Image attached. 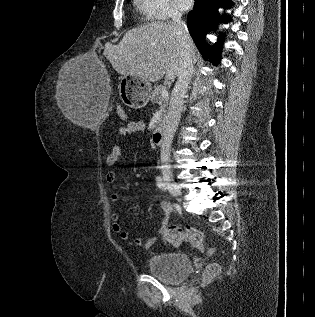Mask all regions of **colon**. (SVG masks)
Listing matches in <instances>:
<instances>
[{"label": "colon", "instance_id": "1", "mask_svg": "<svg viewBox=\"0 0 315 317\" xmlns=\"http://www.w3.org/2000/svg\"><path fill=\"white\" fill-rule=\"evenodd\" d=\"M119 116L124 119L126 113L123 108L118 110ZM163 239L172 244H180L188 242L193 247L203 251L205 250L203 243V234L196 228L186 227L184 229L177 226H169L164 230ZM220 272V265L217 263L210 264L203 273V280H210L216 277Z\"/></svg>", "mask_w": 315, "mask_h": 317}]
</instances>
